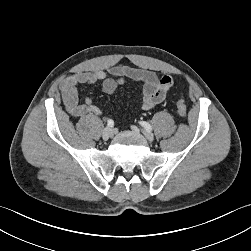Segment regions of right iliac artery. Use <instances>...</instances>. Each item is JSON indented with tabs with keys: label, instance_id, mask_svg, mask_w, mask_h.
<instances>
[{
	"label": "right iliac artery",
	"instance_id": "obj_1",
	"mask_svg": "<svg viewBox=\"0 0 251 251\" xmlns=\"http://www.w3.org/2000/svg\"><path fill=\"white\" fill-rule=\"evenodd\" d=\"M107 125L108 127L112 128L114 126V121L112 119H108Z\"/></svg>",
	"mask_w": 251,
	"mask_h": 251
}]
</instances>
